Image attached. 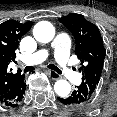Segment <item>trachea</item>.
I'll list each match as a JSON object with an SVG mask.
<instances>
[{"label": "trachea", "mask_w": 117, "mask_h": 117, "mask_svg": "<svg viewBox=\"0 0 117 117\" xmlns=\"http://www.w3.org/2000/svg\"><path fill=\"white\" fill-rule=\"evenodd\" d=\"M48 68H50L51 70H54L55 72H57V73H59V74L62 73V71H61L59 68H57L55 65H53V64H49V65H48ZM33 70H35V68H34V67H31V66H26V67L24 68V72H25V73H26V72H31V71H33Z\"/></svg>", "instance_id": "obj_1"}]
</instances>
